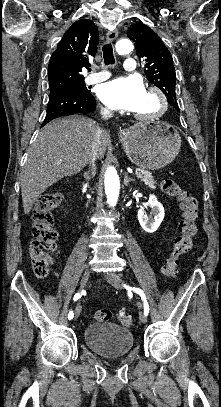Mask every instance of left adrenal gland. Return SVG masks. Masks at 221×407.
Masks as SVG:
<instances>
[{
  "mask_svg": "<svg viewBox=\"0 0 221 407\" xmlns=\"http://www.w3.org/2000/svg\"><path fill=\"white\" fill-rule=\"evenodd\" d=\"M130 182H134V179L128 177V173L126 172L125 175H124V184H125V186H128Z\"/></svg>",
  "mask_w": 221,
  "mask_h": 407,
  "instance_id": "a2214340",
  "label": "left adrenal gland"
}]
</instances>
